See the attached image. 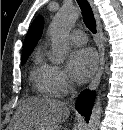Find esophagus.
Wrapping results in <instances>:
<instances>
[{
    "label": "esophagus",
    "mask_w": 123,
    "mask_h": 130,
    "mask_svg": "<svg viewBox=\"0 0 123 130\" xmlns=\"http://www.w3.org/2000/svg\"><path fill=\"white\" fill-rule=\"evenodd\" d=\"M88 1L92 7V10L96 19V23H97V38H98V49H99V66H98V69L94 78L92 79V81L90 82L88 86L90 90H93L98 86L102 73H103L104 62H105V48H104L102 24L99 19L98 11L93 4V0H88Z\"/></svg>",
    "instance_id": "1"
}]
</instances>
